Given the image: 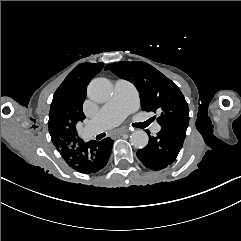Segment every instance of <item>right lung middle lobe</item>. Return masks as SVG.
Listing matches in <instances>:
<instances>
[{"label": "right lung middle lobe", "instance_id": "right-lung-middle-lobe-1", "mask_svg": "<svg viewBox=\"0 0 241 241\" xmlns=\"http://www.w3.org/2000/svg\"><path fill=\"white\" fill-rule=\"evenodd\" d=\"M103 66V63H83L75 67L56 90L53 102L65 109L71 97L79 91H85L91 79Z\"/></svg>", "mask_w": 241, "mask_h": 241}]
</instances>
